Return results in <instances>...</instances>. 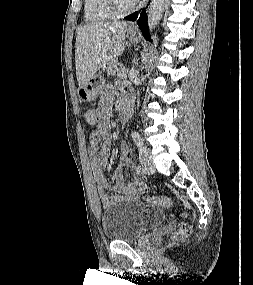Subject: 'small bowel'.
<instances>
[{
	"label": "small bowel",
	"instance_id": "obj_1",
	"mask_svg": "<svg viewBox=\"0 0 253 285\" xmlns=\"http://www.w3.org/2000/svg\"><path fill=\"white\" fill-rule=\"evenodd\" d=\"M120 95L122 99L129 97L127 89L122 85H108L102 92L98 108V128L93 131L89 138L88 155L92 168V173L96 182L103 208H108L123 201H135L139 193L145 190V185L140 181L138 172L133 164H129L127 159L128 147L121 146V165L115 172V185H110L104 176V170L110 157V133L108 121L112 113V103L114 97ZM102 143L101 148L98 145ZM129 165L134 171L133 178L125 181L123 167ZM108 189H112L115 194L109 195Z\"/></svg>",
	"mask_w": 253,
	"mask_h": 285
}]
</instances>
